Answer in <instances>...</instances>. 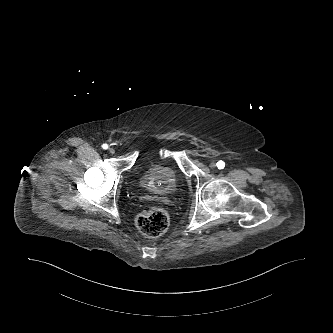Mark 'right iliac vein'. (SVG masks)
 <instances>
[{"label":"right iliac vein","instance_id":"63e3f726","mask_svg":"<svg viewBox=\"0 0 333 333\" xmlns=\"http://www.w3.org/2000/svg\"><path fill=\"white\" fill-rule=\"evenodd\" d=\"M109 152H110L111 154H114V153H115V149H114V148H109Z\"/></svg>","mask_w":333,"mask_h":333}]
</instances>
